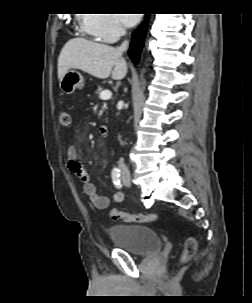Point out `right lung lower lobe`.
Returning <instances> with one entry per match:
<instances>
[{
  "instance_id": "98d812e1",
  "label": "right lung lower lobe",
  "mask_w": 252,
  "mask_h": 303,
  "mask_svg": "<svg viewBox=\"0 0 252 303\" xmlns=\"http://www.w3.org/2000/svg\"><path fill=\"white\" fill-rule=\"evenodd\" d=\"M147 22L145 21L140 25L132 34V41L129 49V56L132 61L137 64L139 61V55L143 47L144 37L146 33Z\"/></svg>"
}]
</instances>
